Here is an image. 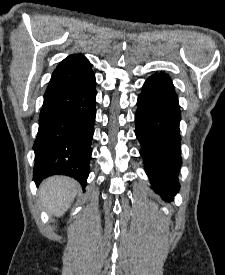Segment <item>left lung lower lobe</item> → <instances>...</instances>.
Masks as SVG:
<instances>
[{
  "label": "left lung lower lobe",
  "mask_w": 225,
  "mask_h": 275,
  "mask_svg": "<svg viewBox=\"0 0 225 275\" xmlns=\"http://www.w3.org/2000/svg\"><path fill=\"white\" fill-rule=\"evenodd\" d=\"M180 119L172 80L163 72L155 73L146 80L137 100L136 137L152 188L165 201L173 200L171 196L180 187Z\"/></svg>",
  "instance_id": "left-lung-lower-lobe-1"
}]
</instances>
